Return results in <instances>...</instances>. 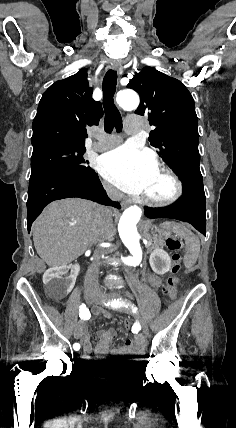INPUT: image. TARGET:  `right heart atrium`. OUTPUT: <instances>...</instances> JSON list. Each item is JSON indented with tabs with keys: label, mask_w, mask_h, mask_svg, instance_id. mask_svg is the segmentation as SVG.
<instances>
[{
	"label": "right heart atrium",
	"mask_w": 236,
	"mask_h": 428,
	"mask_svg": "<svg viewBox=\"0 0 236 428\" xmlns=\"http://www.w3.org/2000/svg\"><path fill=\"white\" fill-rule=\"evenodd\" d=\"M101 187H102V190L105 193V195L111 199H116V198H119L121 196L120 193L112 185H110L107 182L102 181Z\"/></svg>",
	"instance_id": "1"
}]
</instances>
